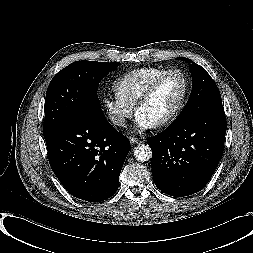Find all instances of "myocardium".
Segmentation results:
<instances>
[{
	"instance_id": "obj_1",
	"label": "myocardium",
	"mask_w": 253,
	"mask_h": 253,
	"mask_svg": "<svg viewBox=\"0 0 253 253\" xmlns=\"http://www.w3.org/2000/svg\"><path fill=\"white\" fill-rule=\"evenodd\" d=\"M178 75L181 77L183 84H184V92L182 99L180 103L178 104L177 108L166 118L161 120L160 122L156 123L154 126L155 127H164L172 124L174 121L177 120V118L181 115L183 112L188 99H189V94H190V83L188 80V77L186 74L180 70V69H168L161 73L159 76H157L155 79H153L150 84L146 87V89L143 91L142 95L138 99L137 103L135 104V110L138 113L139 109L145 105L153 96L155 93L156 89L158 88L159 84L169 75Z\"/></svg>"
}]
</instances>
